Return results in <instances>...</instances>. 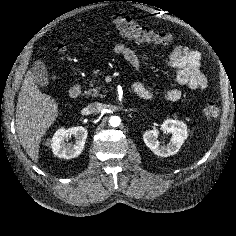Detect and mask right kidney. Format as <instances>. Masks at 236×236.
Wrapping results in <instances>:
<instances>
[{"mask_svg":"<svg viewBox=\"0 0 236 236\" xmlns=\"http://www.w3.org/2000/svg\"><path fill=\"white\" fill-rule=\"evenodd\" d=\"M87 129L82 126L71 127L69 129H58L52 138V151L59 158L71 159L78 157L84 149L87 138ZM71 136L75 137L74 143H68Z\"/></svg>","mask_w":236,"mask_h":236,"instance_id":"ca27d5eb","label":"right kidney"}]
</instances>
